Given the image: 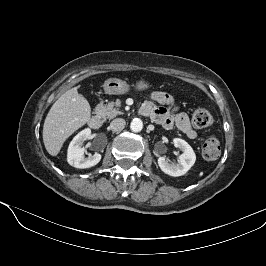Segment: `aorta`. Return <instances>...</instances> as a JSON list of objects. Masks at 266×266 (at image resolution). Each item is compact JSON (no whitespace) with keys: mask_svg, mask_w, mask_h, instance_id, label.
<instances>
[{"mask_svg":"<svg viewBox=\"0 0 266 266\" xmlns=\"http://www.w3.org/2000/svg\"><path fill=\"white\" fill-rule=\"evenodd\" d=\"M142 128H143V122L140 119L135 118L131 121L130 129L133 132H140Z\"/></svg>","mask_w":266,"mask_h":266,"instance_id":"1","label":"aorta"}]
</instances>
